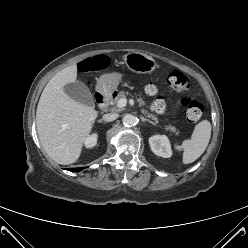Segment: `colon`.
Segmentation results:
<instances>
[{"mask_svg": "<svg viewBox=\"0 0 248 248\" xmlns=\"http://www.w3.org/2000/svg\"><path fill=\"white\" fill-rule=\"evenodd\" d=\"M103 67L104 62L100 59H88L80 64V69L83 71L97 70ZM167 82L177 92H185L191 87L190 79L178 70H173L168 74ZM146 93L149 96H155L157 94V88L153 84H148L146 86ZM180 104L185 109L186 117L191 123H197L200 120L203 113V106L200 102L189 96H183L180 99ZM152 109L158 113H162L165 109L163 100L155 98L152 102Z\"/></svg>", "mask_w": 248, "mask_h": 248, "instance_id": "1", "label": "colon"}]
</instances>
